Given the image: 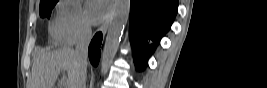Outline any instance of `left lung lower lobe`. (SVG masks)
<instances>
[{"instance_id": "obj_1", "label": "left lung lower lobe", "mask_w": 267, "mask_h": 88, "mask_svg": "<svg viewBox=\"0 0 267 88\" xmlns=\"http://www.w3.org/2000/svg\"><path fill=\"white\" fill-rule=\"evenodd\" d=\"M177 6V0H131L129 32L138 70L146 67L149 55L170 29ZM150 40L154 44L149 45Z\"/></svg>"}]
</instances>
